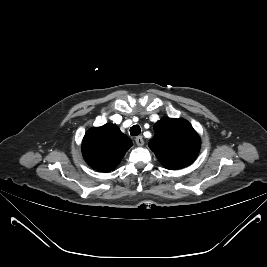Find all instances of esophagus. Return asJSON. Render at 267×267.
I'll use <instances>...</instances> for the list:
<instances>
[{"mask_svg":"<svg viewBox=\"0 0 267 267\" xmlns=\"http://www.w3.org/2000/svg\"><path fill=\"white\" fill-rule=\"evenodd\" d=\"M135 142H136V144H137L138 146H143V145H144V140H143L142 136H137V137L135 138Z\"/></svg>","mask_w":267,"mask_h":267,"instance_id":"esophagus-1","label":"esophagus"}]
</instances>
